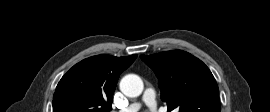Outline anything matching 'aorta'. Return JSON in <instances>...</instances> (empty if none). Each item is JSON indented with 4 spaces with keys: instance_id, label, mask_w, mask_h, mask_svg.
<instances>
[{
    "instance_id": "1",
    "label": "aorta",
    "mask_w": 270,
    "mask_h": 112,
    "mask_svg": "<svg viewBox=\"0 0 270 112\" xmlns=\"http://www.w3.org/2000/svg\"><path fill=\"white\" fill-rule=\"evenodd\" d=\"M142 79L135 74L125 75L120 81V90L128 97H138L143 91Z\"/></svg>"
}]
</instances>
